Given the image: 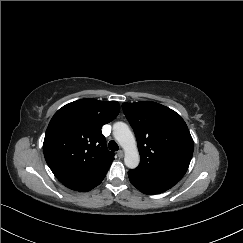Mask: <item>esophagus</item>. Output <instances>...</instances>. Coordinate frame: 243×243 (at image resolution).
<instances>
[{
  "mask_svg": "<svg viewBox=\"0 0 243 243\" xmlns=\"http://www.w3.org/2000/svg\"><path fill=\"white\" fill-rule=\"evenodd\" d=\"M117 156H118L119 158H123V156H124V152H123V150H119V151L117 152Z\"/></svg>",
  "mask_w": 243,
  "mask_h": 243,
  "instance_id": "34e87169",
  "label": "esophagus"
}]
</instances>
